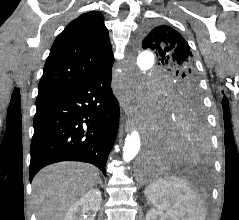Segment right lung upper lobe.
<instances>
[{
  "instance_id": "right-lung-upper-lobe-1",
  "label": "right lung upper lobe",
  "mask_w": 239,
  "mask_h": 220,
  "mask_svg": "<svg viewBox=\"0 0 239 220\" xmlns=\"http://www.w3.org/2000/svg\"><path fill=\"white\" fill-rule=\"evenodd\" d=\"M114 57L108 30L100 12L82 14L54 41L39 82V94L87 81L106 68Z\"/></svg>"
}]
</instances>
